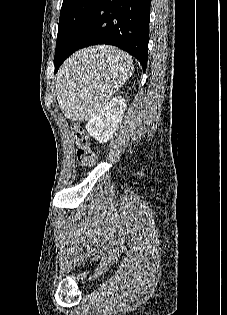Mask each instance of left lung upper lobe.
<instances>
[{
  "label": "left lung upper lobe",
  "instance_id": "5c2ea615",
  "mask_svg": "<svg viewBox=\"0 0 227 315\" xmlns=\"http://www.w3.org/2000/svg\"><path fill=\"white\" fill-rule=\"evenodd\" d=\"M100 0H63L55 54L63 50Z\"/></svg>",
  "mask_w": 227,
  "mask_h": 315
}]
</instances>
